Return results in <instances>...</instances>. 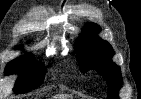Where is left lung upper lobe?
<instances>
[{
  "instance_id": "5c2ea615",
  "label": "left lung upper lobe",
  "mask_w": 141,
  "mask_h": 99,
  "mask_svg": "<svg viewBox=\"0 0 141 99\" xmlns=\"http://www.w3.org/2000/svg\"><path fill=\"white\" fill-rule=\"evenodd\" d=\"M100 27L90 23L79 36L76 44L77 59L82 72L95 69L102 74L109 85L108 98L118 99V90L122 85L120 67L112 61L114 51L111 45L98 37Z\"/></svg>"
}]
</instances>
